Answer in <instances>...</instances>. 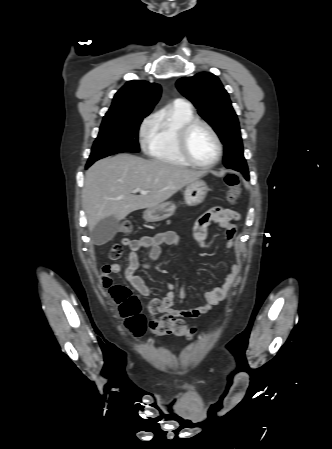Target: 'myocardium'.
Returning a JSON list of instances; mask_svg holds the SVG:
<instances>
[{"label":"myocardium","instance_id":"myocardium-1","mask_svg":"<svg viewBox=\"0 0 332 449\" xmlns=\"http://www.w3.org/2000/svg\"><path fill=\"white\" fill-rule=\"evenodd\" d=\"M197 126H203L204 128H206L209 131V133L212 135V137L215 141V144L217 147V153H216V157L214 158V160L211 161L210 163L204 164V163H200V162L196 161L189 151V147H188L189 134ZM177 145H178V150H179L180 154L182 155V157L189 164H191L195 167L201 168V169H210V168L216 166L219 163V161L221 160L222 154H223V146H222V142H221V139H220L218 133L208 122H206L204 120H200V119H193L180 127V129L178 131Z\"/></svg>","mask_w":332,"mask_h":449}]
</instances>
